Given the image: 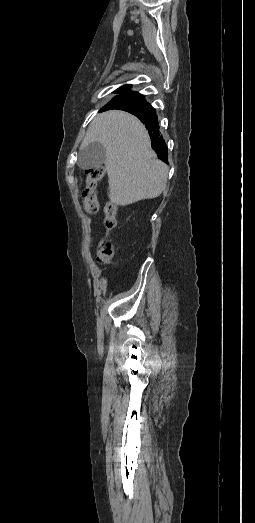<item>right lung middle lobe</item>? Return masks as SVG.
Returning <instances> with one entry per match:
<instances>
[{"label": "right lung middle lobe", "instance_id": "obj_1", "mask_svg": "<svg viewBox=\"0 0 255 523\" xmlns=\"http://www.w3.org/2000/svg\"><path fill=\"white\" fill-rule=\"evenodd\" d=\"M127 92V91H124ZM114 101H121V102H131V103H137V102H143L144 97L141 94L138 93H124L120 94L119 96H116Z\"/></svg>", "mask_w": 255, "mask_h": 523}]
</instances>
